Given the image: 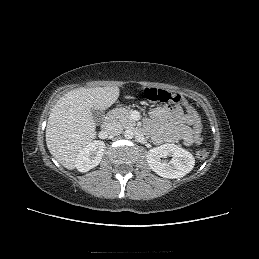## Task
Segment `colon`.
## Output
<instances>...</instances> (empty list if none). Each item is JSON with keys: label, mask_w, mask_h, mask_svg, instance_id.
<instances>
[{"label": "colon", "mask_w": 259, "mask_h": 259, "mask_svg": "<svg viewBox=\"0 0 259 259\" xmlns=\"http://www.w3.org/2000/svg\"><path fill=\"white\" fill-rule=\"evenodd\" d=\"M145 98L150 102L155 103H174L179 105H184L188 108V113L190 117V122L193 126V141L197 144V146H202L203 140V129L200 116L196 108L191 107L185 97L179 93H170L166 90L156 89V88H149L144 90ZM209 154L207 148H200L197 150L196 155L199 159H205Z\"/></svg>", "instance_id": "obj_1"}]
</instances>
